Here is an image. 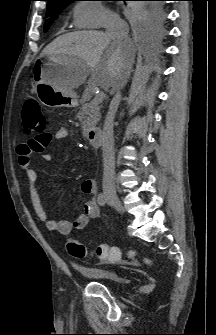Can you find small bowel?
<instances>
[{"label": "small bowel", "instance_id": "obj_1", "mask_svg": "<svg viewBox=\"0 0 216 335\" xmlns=\"http://www.w3.org/2000/svg\"><path fill=\"white\" fill-rule=\"evenodd\" d=\"M69 136L68 130L64 126H60L55 133L50 134L46 144L51 141H63ZM18 159L21 167L24 169L27 178V196L29 202L38 217L45 223L48 230L57 232L62 235H68L73 229L83 230L87 227L92 219H97L100 215V208L95 198L96 182L93 179L87 178L81 184L82 192L91 194L92 197L84 204V212L78 214L73 220H54L50 218L45 210L38 192L39 173L30 166L33 150L29 144H22L18 147ZM42 158L46 162L52 160L49 153H44ZM101 261L103 259L99 258Z\"/></svg>", "mask_w": 216, "mask_h": 335}]
</instances>
